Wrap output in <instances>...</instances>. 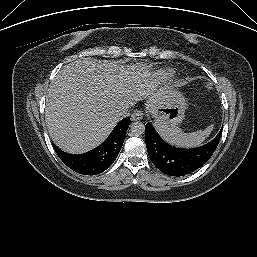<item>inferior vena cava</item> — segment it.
<instances>
[{
  "label": "inferior vena cava",
  "instance_id": "inferior-vena-cava-1",
  "mask_svg": "<svg viewBox=\"0 0 257 257\" xmlns=\"http://www.w3.org/2000/svg\"><path fill=\"white\" fill-rule=\"evenodd\" d=\"M129 115H130L129 106H123V107L119 108V110L117 111V116L119 119L128 117Z\"/></svg>",
  "mask_w": 257,
  "mask_h": 257
}]
</instances>
